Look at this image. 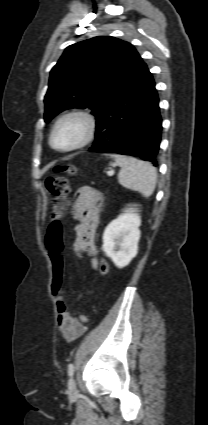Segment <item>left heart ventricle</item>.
<instances>
[{
    "label": "left heart ventricle",
    "instance_id": "b2bd125f",
    "mask_svg": "<svg viewBox=\"0 0 208 425\" xmlns=\"http://www.w3.org/2000/svg\"><path fill=\"white\" fill-rule=\"evenodd\" d=\"M83 123L80 120H68L60 125L55 137L54 144L58 147L69 146L80 139L83 133Z\"/></svg>",
    "mask_w": 208,
    "mask_h": 425
}]
</instances>
